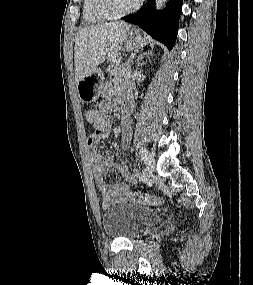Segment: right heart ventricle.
<instances>
[{"label":"right heart ventricle","mask_w":253,"mask_h":285,"mask_svg":"<svg viewBox=\"0 0 253 285\" xmlns=\"http://www.w3.org/2000/svg\"><path fill=\"white\" fill-rule=\"evenodd\" d=\"M106 18L100 16L93 9L92 0H83V20L86 23H99L104 21Z\"/></svg>","instance_id":"obj_1"}]
</instances>
